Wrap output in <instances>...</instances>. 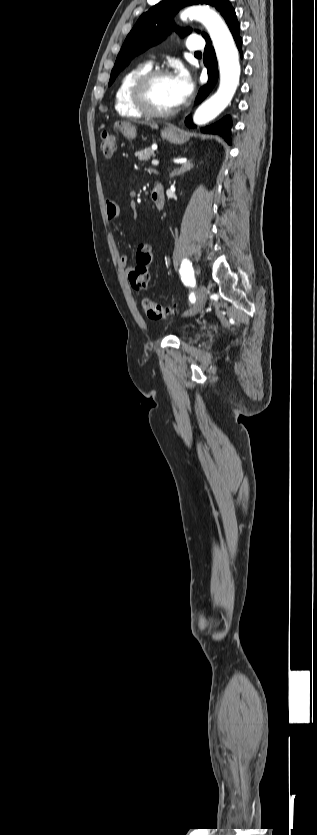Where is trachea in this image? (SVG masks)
<instances>
[{
  "mask_svg": "<svg viewBox=\"0 0 317 835\" xmlns=\"http://www.w3.org/2000/svg\"><path fill=\"white\" fill-rule=\"evenodd\" d=\"M195 55H201V52H195Z\"/></svg>",
  "mask_w": 317,
  "mask_h": 835,
  "instance_id": "obj_1",
  "label": "trachea"
}]
</instances>
